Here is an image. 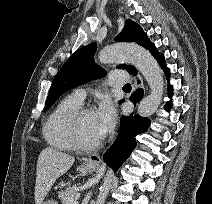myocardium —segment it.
<instances>
[{"instance_id":"1","label":"myocardium","mask_w":212,"mask_h":204,"mask_svg":"<svg viewBox=\"0 0 212 204\" xmlns=\"http://www.w3.org/2000/svg\"><path fill=\"white\" fill-rule=\"evenodd\" d=\"M94 112V109L89 106H80L79 108L73 110L65 119L64 129L66 136L71 144V146L78 151L90 152L96 150L102 143L103 139L92 144H85L81 141L78 132V125L80 119L88 114Z\"/></svg>"}]
</instances>
